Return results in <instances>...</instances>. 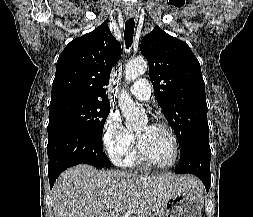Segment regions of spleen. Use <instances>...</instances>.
Instances as JSON below:
<instances>
[{
    "instance_id": "3e777b00",
    "label": "spleen",
    "mask_w": 253,
    "mask_h": 217,
    "mask_svg": "<svg viewBox=\"0 0 253 217\" xmlns=\"http://www.w3.org/2000/svg\"><path fill=\"white\" fill-rule=\"evenodd\" d=\"M203 199H204V197L202 196L201 199H200L202 203H203Z\"/></svg>"
}]
</instances>
